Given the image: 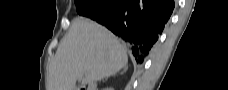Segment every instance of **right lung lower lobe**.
Here are the masks:
<instances>
[{
    "label": "right lung lower lobe",
    "instance_id": "right-lung-lower-lobe-1",
    "mask_svg": "<svg viewBox=\"0 0 228 90\" xmlns=\"http://www.w3.org/2000/svg\"><path fill=\"white\" fill-rule=\"evenodd\" d=\"M174 8L173 0H106L99 15L89 17L129 44L142 63L158 40Z\"/></svg>",
    "mask_w": 228,
    "mask_h": 90
}]
</instances>
